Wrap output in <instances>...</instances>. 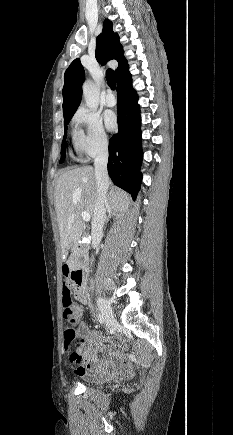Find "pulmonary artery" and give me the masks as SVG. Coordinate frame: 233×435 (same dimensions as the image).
Masks as SVG:
<instances>
[{"instance_id":"e3ab8cb5","label":"pulmonary artery","mask_w":233,"mask_h":435,"mask_svg":"<svg viewBox=\"0 0 233 435\" xmlns=\"http://www.w3.org/2000/svg\"><path fill=\"white\" fill-rule=\"evenodd\" d=\"M105 104L109 107H112L116 104V97L111 91H108L106 94Z\"/></svg>"}]
</instances>
